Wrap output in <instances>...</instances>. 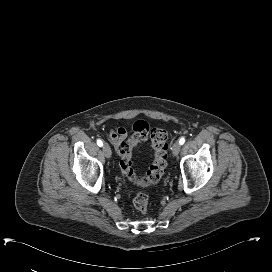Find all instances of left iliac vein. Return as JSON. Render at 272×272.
I'll list each match as a JSON object with an SVG mask.
<instances>
[{
  "label": "left iliac vein",
  "instance_id": "left-iliac-vein-1",
  "mask_svg": "<svg viewBox=\"0 0 272 272\" xmlns=\"http://www.w3.org/2000/svg\"><path fill=\"white\" fill-rule=\"evenodd\" d=\"M181 150V145L179 142H175L172 147V152L174 156H177Z\"/></svg>",
  "mask_w": 272,
  "mask_h": 272
}]
</instances>
